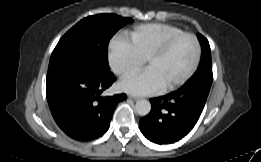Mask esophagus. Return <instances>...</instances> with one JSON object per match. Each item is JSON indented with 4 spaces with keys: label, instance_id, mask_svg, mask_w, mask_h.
Segmentation results:
<instances>
[{
    "label": "esophagus",
    "instance_id": "esophagus-1",
    "mask_svg": "<svg viewBox=\"0 0 261 162\" xmlns=\"http://www.w3.org/2000/svg\"><path fill=\"white\" fill-rule=\"evenodd\" d=\"M128 99L133 100V101H137L138 100L137 97H134V96H131V95L128 96Z\"/></svg>",
    "mask_w": 261,
    "mask_h": 162
}]
</instances>
